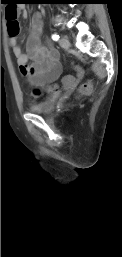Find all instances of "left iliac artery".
Segmentation results:
<instances>
[{
  "instance_id": "obj_1",
  "label": "left iliac artery",
  "mask_w": 122,
  "mask_h": 257,
  "mask_svg": "<svg viewBox=\"0 0 122 257\" xmlns=\"http://www.w3.org/2000/svg\"><path fill=\"white\" fill-rule=\"evenodd\" d=\"M59 38H60L59 35L56 34V33L52 35V39H53L54 41H58Z\"/></svg>"
}]
</instances>
